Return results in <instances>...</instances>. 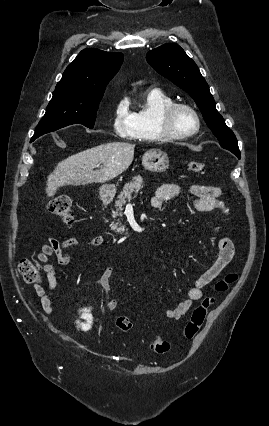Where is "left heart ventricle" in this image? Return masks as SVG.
I'll return each mask as SVG.
<instances>
[{
    "label": "left heart ventricle",
    "mask_w": 269,
    "mask_h": 426,
    "mask_svg": "<svg viewBox=\"0 0 269 426\" xmlns=\"http://www.w3.org/2000/svg\"><path fill=\"white\" fill-rule=\"evenodd\" d=\"M173 125L179 132L191 131L195 128V119L187 110H178L173 119Z\"/></svg>",
    "instance_id": "obj_1"
}]
</instances>
